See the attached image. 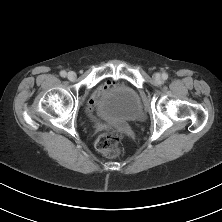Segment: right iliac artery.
I'll return each mask as SVG.
<instances>
[{
  "label": "right iliac artery",
  "instance_id": "1",
  "mask_svg": "<svg viewBox=\"0 0 222 222\" xmlns=\"http://www.w3.org/2000/svg\"><path fill=\"white\" fill-rule=\"evenodd\" d=\"M60 75H61L62 77H65V76L67 75V73H66V71H61V72H60Z\"/></svg>",
  "mask_w": 222,
  "mask_h": 222
}]
</instances>
